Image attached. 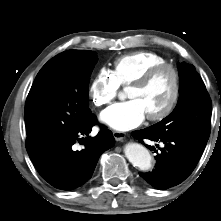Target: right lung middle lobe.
I'll return each mask as SVG.
<instances>
[{
    "label": "right lung middle lobe",
    "mask_w": 221,
    "mask_h": 221,
    "mask_svg": "<svg viewBox=\"0 0 221 221\" xmlns=\"http://www.w3.org/2000/svg\"><path fill=\"white\" fill-rule=\"evenodd\" d=\"M97 61L89 50H69L37 74L25 104L27 140L67 138L92 115L88 84Z\"/></svg>",
    "instance_id": "dd1d6c3e"
}]
</instances>
